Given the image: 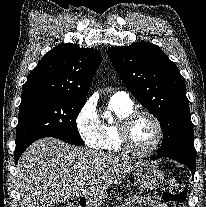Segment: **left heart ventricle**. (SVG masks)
Segmentation results:
<instances>
[{
  "label": "left heart ventricle",
  "mask_w": 206,
  "mask_h": 207,
  "mask_svg": "<svg viewBox=\"0 0 206 207\" xmlns=\"http://www.w3.org/2000/svg\"><path fill=\"white\" fill-rule=\"evenodd\" d=\"M157 130L152 120L146 116L136 119L130 127L129 137L132 146L140 151L152 146L156 139Z\"/></svg>",
  "instance_id": "1"
}]
</instances>
